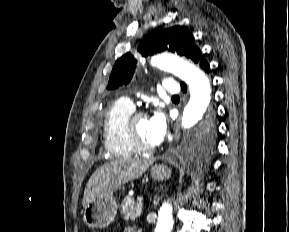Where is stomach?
Here are the masks:
<instances>
[{
    "instance_id": "stomach-1",
    "label": "stomach",
    "mask_w": 289,
    "mask_h": 232,
    "mask_svg": "<svg viewBox=\"0 0 289 232\" xmlns=\"http://www.w3.org/2000/svg\"><path fill=\"white\" fill-rule=\"evenodd\" d=\"M150 175L154 180L164 181L171 177V169L166 165H155L151 168ZM117 208L112 192L96 197L84 207L83 221L89 228H105L114 221Z\"/></svg>"
}]
</instances>
